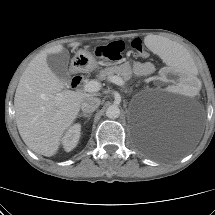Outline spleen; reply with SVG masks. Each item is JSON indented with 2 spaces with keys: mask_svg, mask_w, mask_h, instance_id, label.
Wrapping results in <instances>:
<instances>
[{
  "mask_svg": "<svg viewBox=\"0 0 215 215\" xmlns=\"http://www.w3.org/2000/svg\"><path fill=\"white\" fill-rule=\"evenodd\" d=\"M145 44L147 47L152 49L155 54L163 58V60L168 64L178 68L179 71L187 74H192L195 72V63L190 61V58L186 55L185 50L180 48L178 44L166 42L154 35L147 36L145 39Z\"/></svg>",
  "mask_w": 215,
  "mask_h": 215,
  "instance_id": "1",
  "label": "spleen"
}]
</instances>
